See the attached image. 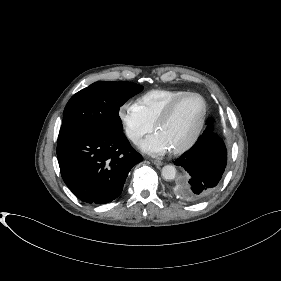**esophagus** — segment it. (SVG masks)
Segmentation results:
<instances>
[{"label":"esophagus","instance_id":"34e87169","mask_svg":"<svg viewBox=\"0 0 281 281\" xmlns=\"http://www.w3.org/2000/svg\"><path fill=\"white\" fill-rule=\"evenodd\" d=\"M152 163L156 166H162L163 165V162L160 161V160H152Z\"/></svg>","mask_w":281,"mask_h":281}]
</instances>
